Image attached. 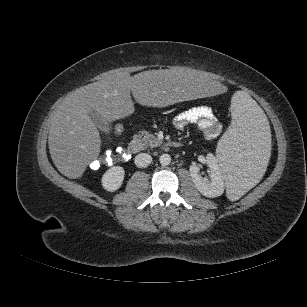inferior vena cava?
I'll use <instances>...</instances> for the list:
<instances>
[{
	"mask_svg": "<svg viewBox=\"0 0 307 307\" xmlns=\"http://www.w3.org/2000/svg\"><path fill=\"white\" fill-rule=\"evenodd\" d=\"M134 162L137 167L144 168L152 162V157L147 153H140L136 155Z\"/></svg>",
	"mask_w": 307,
	"mask_h": 307,
	"instance_id": "inferior-vena-cava-1",
	"label": "inferior vena cava"
}]
</instances>
